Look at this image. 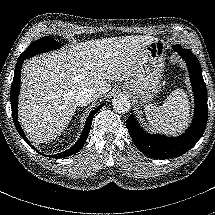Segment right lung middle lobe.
Segmentation results:
<instances>
[{
    "mask_svg": "<svg viewBox=\"0 0 215 215\" xmlns=\"http://www.w3.org/2000/svg\"><path fill=\"white\" fill-rule=\"evenodd\" d=\"M61 47V44L53 38L46 36L40 38L29 45V47L20 55V57L30 58L37 54L55 50Z\"/></svg>",
    "mask_w": 215,
    "mask_h": 215,
    "instance_id": "obj_1",
    "label": "right lung middle lobe"
}]
</instances>
